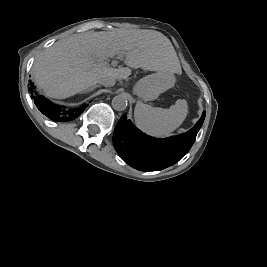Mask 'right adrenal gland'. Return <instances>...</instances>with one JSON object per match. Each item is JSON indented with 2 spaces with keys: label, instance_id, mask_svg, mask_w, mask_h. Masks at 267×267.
I'll return each instance as SVG.
<instances>
[{
  "label": "right adrenal gland",
  "instance_id": "right-adrenal-gland-1",
  "mask_svg": "<svg viewBox=\"0 0 267 267\" xmlns=\"http://www.w3.org/2000/svg\"><path fill=\"white\" fill-rule=\"evenodd\" d=\"M97 87H99V85H94L91 88L85 89L84 91H82L81 93H88L90 91H93L94 89H96Z\"/></svg>",
  "mask_w": 267,
  "mask_h": 267
}]
</instances>
